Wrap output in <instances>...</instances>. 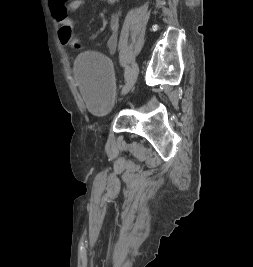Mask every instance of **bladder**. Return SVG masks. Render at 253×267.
Wrapping results in <instances>:
<instances>
[{
	"label": "bladder",
	"mask_w": 253,
	"mask_h": 267,
	"mask_svg": "<svg viewBox=\"0 0 253 267\" xmlns=\"http://www.w3.org/2000/svg\"><path fill=\"white\" fill-rule=\"evenodd\" d=\"M73 74L89 112L108 117L114 110L116 91L110 60L99 52H83L74 62Z\"/></svg>",
	"instance_id": "obj_1"
}]
</instances>
